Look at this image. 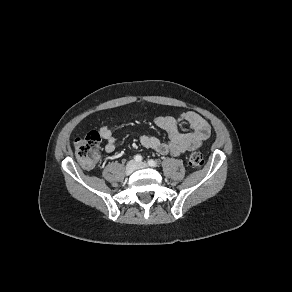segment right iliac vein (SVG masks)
Here are the masks:
<instances>
[{"label":"right iliac vein","instance_id":"obj_1","mask_svg":"<svg viewBox=\"0 0 292 292\" xmlns=\"http://www.w3.org/2000/svg\"><path fill=\"white\" fill-rule=\"evenodd\" d=\"M136 169V163L135 161L131 160L127 163L126 168H125V173L126 175L132 174Z\"/></svg>","mask_w":292,"mask_h":292}]
</instances>
